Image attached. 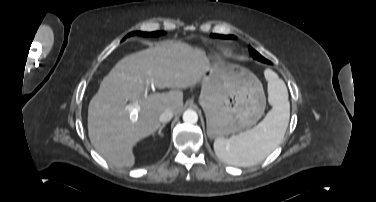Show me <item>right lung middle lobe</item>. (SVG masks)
<instances>
[{"mask_svg": "<svg viewBox=\"0 0 376 202\" xmlns=\"http://www.w3.org/2000/svg\"><path fill=\"white\" fill-rule=\"evenodd\" d=\"M164 33L165 32H161V31L151 32V33L136 31V32L129 33L127 36L129 37L131 35H141V36L149 37V36H159V35L164 34Z\"/></svg>", "mask_w": 376, "mask_h": 202, "instance_id": "right-lung-middle-lobe-1", "label": "right lung middle lobe"}]
</instances>
